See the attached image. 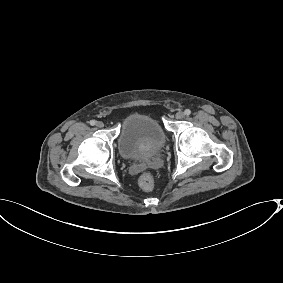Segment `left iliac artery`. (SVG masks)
<instances>
[{"label": "left iliac artery", "mask_w": 283, "mask_h": 283, "mask_svg": "<svg viewBox=\"0 0 283 283\" xmlns=\"http://www.w3.org/2000/svg\"><path fill=\"white\" fill-rule=\"evenodd\" d=\"M184 113H185V115H190L191 114V110L190 109H186L185 111H184Z\"/></svg>", "instance_id": "44dca946"}]
</instances>
